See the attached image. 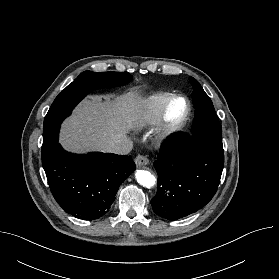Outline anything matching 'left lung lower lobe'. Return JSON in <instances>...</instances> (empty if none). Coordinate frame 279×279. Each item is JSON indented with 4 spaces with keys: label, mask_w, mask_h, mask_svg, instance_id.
Returning <instances> with one entry per match:
<instances>
[{
    "label": "left lung lower lobe",
    "mask_w": 279,
    "mask_h": 279,
    "mask_svg": "<svg viewBox=\"0 0 279 279\" xmlns=\"http://www.w3.org/2000/svg\"><path fill=\"white\" fill-rule=\"evenodd\" d=\"M224 152L187 135L164 143L154 167L158 188L153 211L175 220L204 207L215 195L224 166Z\"/></svg>",
    "instance_id": "1"
}]
</instances>
